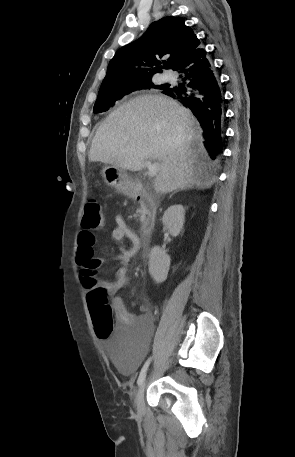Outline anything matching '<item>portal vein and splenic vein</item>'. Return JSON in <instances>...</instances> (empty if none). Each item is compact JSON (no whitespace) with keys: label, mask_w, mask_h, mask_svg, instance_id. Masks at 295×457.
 <instances>
[{"label":"portal vein and splenic vein","mask_w":295,"mask_h":457,"mask_svg":"<svg viewBox=\"0 0 295 457\" xmlns=\"http://www.w3.org/2000/svg\"><path fill=\"white\" fill-rule=\"evenodd\" d=\"M144 165L148 169L149 177L156 176L158 171L160 170V164L158 162L152 163L151 161H145Z\"/></svg>","instance_id":"1"}]
</instances>
